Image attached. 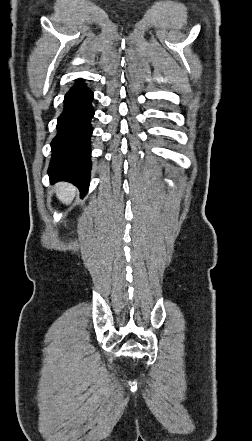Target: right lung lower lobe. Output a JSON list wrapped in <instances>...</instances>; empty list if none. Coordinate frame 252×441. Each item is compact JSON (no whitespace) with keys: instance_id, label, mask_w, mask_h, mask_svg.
Instances as JSON below:
<instances>
[{"instance_id":"98d812e1","label":"right lung lower lobe","mask_w":252,"mask_h":441,"mask_svg":"<svg viewBox=\"0 0 252 441\" xmlns=\"http://www.w3.org/2000/svg\"><path fill=\"white\" fill-rule=\"evenodd\" d=\"M92 100L93 92L78 80L65 96L64 109L57 122L58 132L51 142L48 169L51 182H70L78 187L81 197L90 183Z\"/></svg>"}]
</instances>
